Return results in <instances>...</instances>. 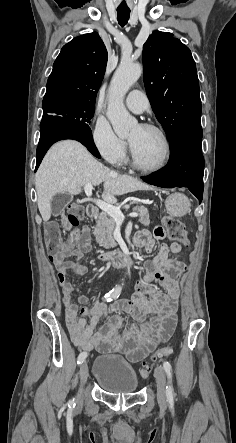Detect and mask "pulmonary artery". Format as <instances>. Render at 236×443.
<instances>
[{"instance_id": "e3ab8cb5", "label": "pulmonary artery", "mask_w": 236, "mask_h": 443, "mask_svg": "<svg viewBox=\"0 0 236 443\" xmlns=\"http://www.w3.org/2000/svg\"><path fill=\"white\" fill-rule=\"evenodd\" d=\"M126 105L131 111L142 113L148 109L149 101L142 91L132 90L126 97Z\"/></svg>"}]
</instances>
